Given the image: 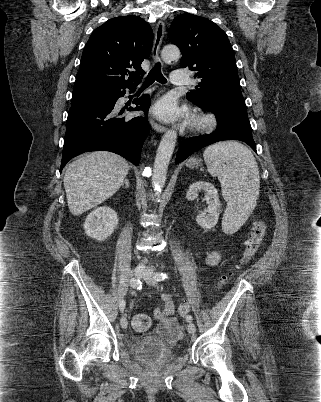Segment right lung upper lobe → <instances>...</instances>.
Here are the masks:
<instances>
[{
  "instance_id": "1",
  "label": "right lung upper lobe",
  "mask_w": 321,
  "mask_h": 402,
  "mask_svg": "<svg viewBox=\"0 0 321 402\" xmlns=\"http://www.w3.org/2000/svg\"><path fill=\"white\" fill-rule=\"evenodd\" d=\"M152 44V29L142 18L108 20L86 43L74 86H136L145 73L141 63L149 57Z\"/></svg>"
}]
</instances>
